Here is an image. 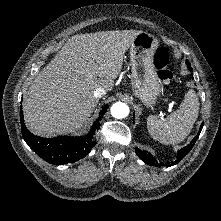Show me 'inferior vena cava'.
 <instances>
[{
    "mask_svg": "<svg viewBox=\"0 0 221 221\" xmlns=\"http://www.w3.org/2000/svg\"><path fill=\"white\" fill-rule=\"evenodd\" d=\"M106 94V91H105V89L104 88H97L95 91H94V97L95 98H100V97H102L103 95H105Z\"/></svg>",
    "mask_w": 221,
    "mask_h": 221,
    "instance_id": "obj_1",
    "label": "inferior vena cava"
}]
</instances>
